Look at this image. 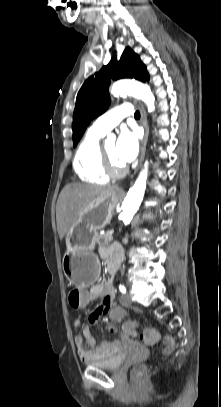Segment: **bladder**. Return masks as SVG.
<instances>
[{
  "mask_svg": "<svg viewBox=\"0 0 221 407\" xmlns=\"http://www.w3.org/2000/svg\"><path fill=\"white\" fill-rule=\"evenodd\" d=\"M124 361L125 355L115 353L114 355L105 359L86 361V365L106 370H118L123 365Z\"/></svg>",
  "mask_w": 221,
  "mask_h": 407,
  "instance_id": "obj_1",
  "label": "bladder"
}]
</instances>
